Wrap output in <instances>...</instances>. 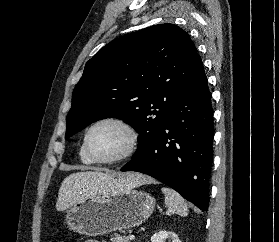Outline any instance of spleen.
I'll return each instance as SVG.
<instances>
[{
  "mask_svg": "<svg viewBox=\"0 0 279 242\" xmlns=\"http://www.w3.org/2000/svg\"><path fill=\"white\" fill-rule=\"evenodd\" d=\"M161 190L165 195L167 214L176 213L181 216H186L188 214L187 203L178 192L168 187H162Z\"/></svg>",
  "mask_w": 279,
  "mask_h": 242,
  "instance_id": "3e777b00",
  "label": "spleen"
}]
</instances>
